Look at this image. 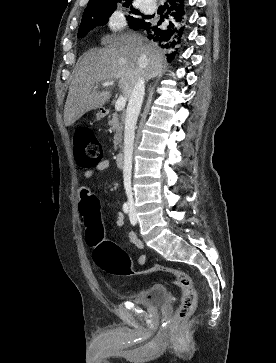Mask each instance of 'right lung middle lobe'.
I'll list each match as a JSON object with an SVG mask.
<instances>
[{
	"label": "right lung middle lobe",
	"mask_w": 276,
	"mask_h": 363,
	"mask_svg": "<svg viewBox=\"0 0 276 363\" xmlns=\"http://www.w3.org/2000/svg\"><path fill=\"white\" fill-rule=\"evenodd\" d=\"M121 1L101 3L86 7L82 22L79 28L78 37L85 36L89 31L93 30L96 26H103L108 23L110 15L115 11L117 3ZM125 7L130 6L131 16L127 17L130 27L138 29L143 23L145 17L138 12L130 2L123 4Z\"/></svg>",
	"instance_id": "right-lung-middle-lobe-1"
}]
</instances>
